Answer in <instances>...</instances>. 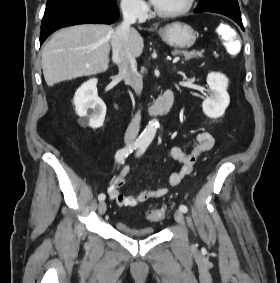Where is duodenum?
<instances>
[{
    "label": "duodenum",
    "instance_id": "410a0bca",
    "mask_svg": "<svg viewBox=\"0 0 280 283\" xmlns=\"http://www.w3.org/2000/svg\"><path fill=\"white\" fill-rule=\"evenodd\" d=\"M173 92L167 90L148 110L149 114L154 117L167 115L173 106Z\"/></svg>",
    "mask_w": 280,
    "mask_h": 283
}]
</instances>
